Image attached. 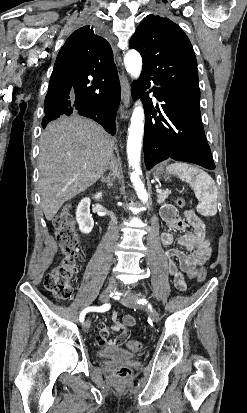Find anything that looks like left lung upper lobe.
I'll return each instance as SVG.
<instances>
[{
	"label": "left lung upper lobe",
	"mask_w": 247,
	"mask_h": 413,
	"mask_svg": "<svg viewBox=\"0 0 247 413\" xmlns=\"http://www.w3.org/2000/svg\"><path fill=\"white\" fill-rule=\"evenodd\" d=\"M129 48L140 52L142 73L160 86L200 101L197 61L184 31L168 18L146 16L131 37Z\"/></svg>",
	"instance_id": "obj_1"
}]
</instances>
